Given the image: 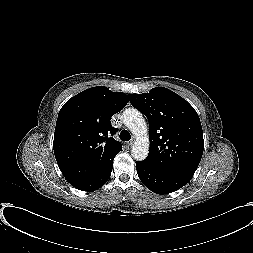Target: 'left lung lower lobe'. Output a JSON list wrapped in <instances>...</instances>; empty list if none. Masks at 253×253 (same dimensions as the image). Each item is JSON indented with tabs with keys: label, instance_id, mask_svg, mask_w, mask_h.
Returning a JSON list of instances; mask_svg holds the SVG:
<instances>
[{
	"label": "left lung lower lobe",
	"instance_id": "obj_1",
	"mask_svg": "<svg viewBox=\"0 0 253 253\" xmlns=\"http://www.w3.org/2000/svg\"><path fill=\"white\" fill-rule=\"evenodd\" d=\"M136 168L143 184L157 194H168L187 184L159 171L145 161H137Z\"/></svg>",
	"mask_w": 253,
	"mask_h": 253
}]
</instances>
